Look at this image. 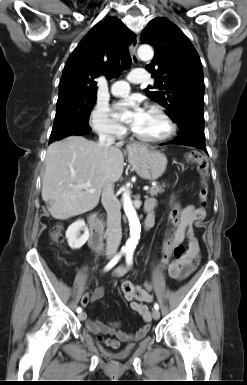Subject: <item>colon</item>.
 <instances>
[{"mask_svg":"<svg viewBox=\"0 0 247 385\" xmlns=\"http://www.w3.org/2000/svg\"><path fill=\"white\" fill-rule=\"evenodd\" d=\"M187 161L189 163H195L197 165V169L200 174V190H199V198L202 205L205 207L208 199V160L206 156L199 152H191L187 154ZM62 225L60 223L56 224L52 231L51 236L55 242L62 241ZM184 247L182 245H177L173 251L172 256L175 260L181 259L184 256ZM171 255L166 257V261L163 264L164 267L167 266L170 261ZM122 290L124 293L132 292V286L129 284H125L122 286ZM136 295L138 293H135Z\"/></svg>","mask_w":247,"mask_h":385,"instance_id":"obj_1","label":"colon"}]
</instances>
